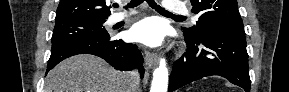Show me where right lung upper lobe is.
I'll return each instance as SVG.
<instances>
[{
	"instance_id": "1",
	"label": "right lung upper lobe",
	"mask_w": 289,
	"mask_h": 92,
	"mask_svg": "<svg viewBox=\"0 0 289 92\" xmlns=\"http://www.w3.org/2000/svg\"><path fill=\"white\" fill-rule=\"evenodd\" d=\"M111 14L105 0H60L55 22L73 19L106 20Z\"/></svg>"
}]
</instances>
